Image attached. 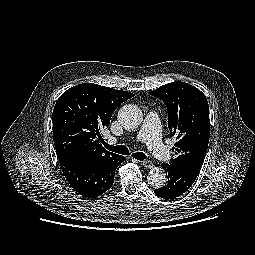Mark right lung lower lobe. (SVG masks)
Masks as SVG:
<instances>
[{"instance_id":"98d812e1","label":"right lung lower lobe","mask_w":255,"mask_h":255,"mask_svg":"<svg viewBox=\"0 0 255 255\" xmlns=\"http://www.w3.org/2000/svg\"><path fill=\"white\" fill-rule=\"evenodd\" d=\"M125 160L124 156L117 155L103 161H67L60 166L76 192L86 198H96L112 186L115 170Z\"/></svg>"}]
</instances>
